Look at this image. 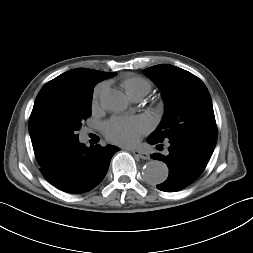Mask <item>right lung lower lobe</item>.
I'll use <instances>...</instances> for the list:
<instances>
[{"label":"right lung lower lobe","mask_w":253,"mask_h":253,"mask_svg":"<svg viewBox=\"0 0 253 253\" xmlns=\"http://www.w3.org/2000/svg\"><path fill=\"white\" fill-rule=\"evenodd\" d=\"M120 149L96 145L89 148L78 142L60 152L41 172L45 179L67 193H84L105 177L111 157Z\"/></svg>","instance_id":"obj_1"}]
</instances>
